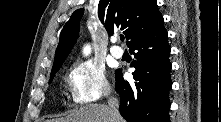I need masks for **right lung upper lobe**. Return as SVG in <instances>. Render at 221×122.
<instances>
[{
	"instance_id": "1",
	"label": "right lung upper lobe",
	"mask_w": 221,
	"mask_h": 122,
	"mask_svg": "<svg viewBox=\"0 0 221 122\" xmlns=\"http://www.w3.org/2000/svg\"><path fill=\"white\" fill-rule=\"evenodd\" d=\"M83 11L76 10L63 27L51 72L59 70L72 49ZM98 16L110 35L116 28L123 31L128 47L150 33L163 20L156 0H100Z\"/></svg>"
}]
</instances>
